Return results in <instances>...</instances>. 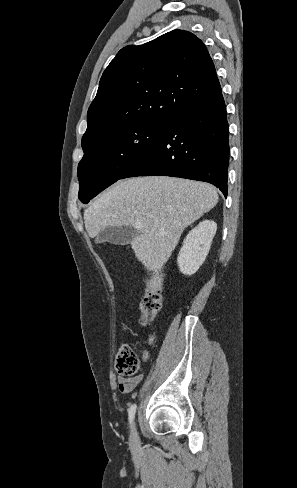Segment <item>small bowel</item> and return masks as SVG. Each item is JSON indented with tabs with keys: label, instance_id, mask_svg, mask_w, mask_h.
Segmentation results:
<instances>
[{
	"label": "small bowel",
	"instance_id": "obj_1",
	"mask_svg": "<svg viewBox=\"0 0 297 488\" xmlns=\"http://www.w3.org/2000/svg\"><path fill=\"white\" fill-rule=\"evenodd\" d=\"M142 379H143L142 374H138L133 377H127L123 375H118L116 377L118 389L124 394H128L132 392L136 388L138 383L142 381Z\"/></svg>",
	"mask_w": 297,
	"mask_h": 488
}]
</instances>
